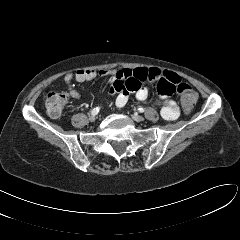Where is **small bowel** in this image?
<instances>
[{"instance_id":"1","label":"small bowel","mask_w":240,"mask_h":240,"mask_svg":"<svg viewBox=\"0 0 240 240\" xmlns=\"http://www.w3.org/2000/svg\"><path fill=\"white\" fill-rule=\"evenodd\" d=\"M97 75L109 76V91L116 95L115 104L117 108H123L127 104L131 93H135L138 101H144L148 97V89L144 83L146 81L156 82L161 117L167 121L178 118L179 108L176 102L170 99V95L182 83L178 74L163 71L159 68H135L119 71L81 69L76 72H69L64 76L63 80L69 95L74 99L80 98V93L72 85L73 80L77 82L90 81Z\"/></svg>"}]
</instances>
